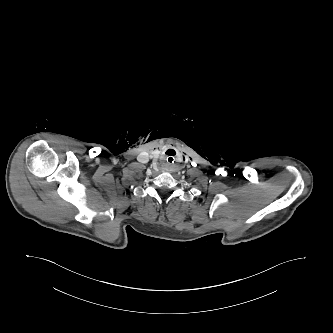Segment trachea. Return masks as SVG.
I'll return each instance as SVG.
<instances>
[{"label":"trachea","instance_id":"trachea-1","mask_svg":"<svg viewBox=\"0 0 333 333\" xmlns=\"http://www.w3.org/2000/svg\"><path fill=\"white\" fill-rule=\"evenodd\" d=\"M178 160H179V157L174 152H168L164 156V161L168 165H174L178 162Z\"/></svg>","mask_w":333,"mask_h":333}]
</instances>
